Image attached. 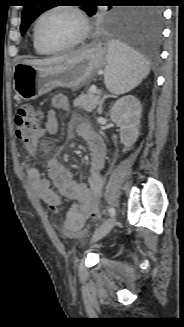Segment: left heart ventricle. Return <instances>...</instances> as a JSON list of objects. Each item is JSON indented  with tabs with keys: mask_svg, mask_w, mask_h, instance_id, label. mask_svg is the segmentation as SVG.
I'll use <instances>...</instances> for the list:
<instances>
[{
	"mask_svg": "<svg viewBox=\"0 0 184 327\" xmlns=\"http://www.w3.org/2000/svg\"><path fill=\"white\" fill-rule=\"evenodd\" d=\"M78 18L66 10H57L46 15L39 25L41 40L51 46L59 47L74 41L81 33Z\"/></svg>",
	"mask_w": 184,
	"mask_h": 327,
	"instance_id": "left-heart-ventricle-1",
	"label": "left heart ventricle"
}]
</instances>
